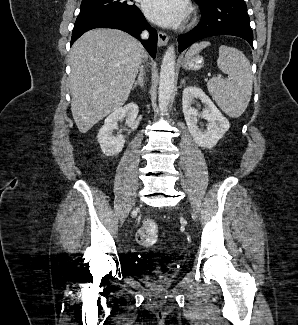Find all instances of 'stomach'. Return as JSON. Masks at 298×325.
I'll use <instances>...</instances> for the list:
<instances>
[{"label": "stomach", "instance_id": "1", "mask_svg": "<svg viewBox=\"0 0 298 325\" xmlns=\"http://www.w3.org/2000/svg\"><path fill=\"white\" fill-rule=\"evenodd\" d=\"M182 68L185 70H200L204 66V56L194 54V56H185L182 62Z\"/></svg>", "mask_w": 298, "mask_h": 325}]
</instances>
